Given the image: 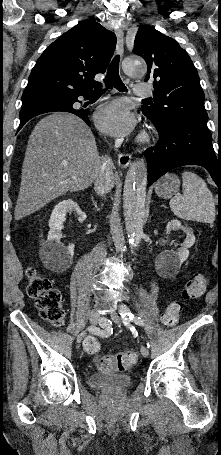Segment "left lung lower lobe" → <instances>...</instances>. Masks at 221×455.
Segmentation results:
<instances>
[{
    "instance_id": "0a47b994",
    "label": "left lung lower lobe",
    "mask_w": 221,
    "mask_h": 455,
    "mask_svg": "<svg viewBox=\"0 0 221 455\" xmlns=\"http://www.w3.org/2000/svg\"><path fill=\"white\" fill-rule=\"evenodd\" d=\"M152 122L159 133V141L145 151L148 186L171 169L194 164L205 167L221 189V156L214 152L206 125L179 121L165 126Z\"/></svg>"
}]
</instances>
